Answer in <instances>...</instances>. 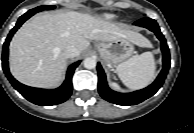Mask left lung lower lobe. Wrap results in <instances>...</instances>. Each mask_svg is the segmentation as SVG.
Listing matches in <instances>:
<instances>
[{
    "label": "left lung lower lobe",
    "mask_w": 194,
    "mask_h": 133,
    "mask_svg": "<svg viewBox=\"0 0 194 133\" xmlns=\"http://www.w3.org/2000/svg\"><path fill=\"white\" fill-rule=\"evenodd\" d=\"M137 26L145 27L150 31L154 32L157 38L161 41V50L163 53V69L160 72L157 79L147 88L138 90L132 93H118L111 90L106 81V76L104 70L102 69L100 63L97 65L98 70V91L102 98L105 100L123 106L136 105L149 97L153 96L159 88L163 85L166 78L168 70L170 68V54L169 48L167 46L166 40L160 31L157 22L151 18L144 17L134 23Z\"/></svg>",
    "instance_id": "1"
}]
</instances>
